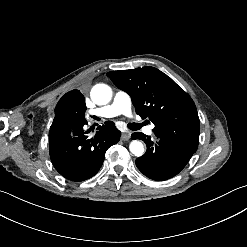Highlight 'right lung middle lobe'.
Here are the masks:
<instances>
[{
  "label": "right lung middle lobe",
  "instance_id": "right-lung-middle-lobe-1",
  "mask_svg": "<svg viewBox=\"0 0 247 247\" xmlns=\"http://www.w3.org/2000/svg\"><path fill=\"white\" fill-rule=\"evenodd\" d=\"M85 111V99L79 90L66 93L56 105L55 118L49 133L67 130L84 123Z\"/></svg>",
  "mask_w": 247,
  "mask_h": 247
}]
</instances>
